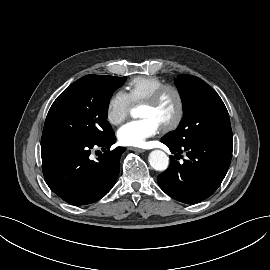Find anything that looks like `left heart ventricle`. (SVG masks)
<instances>
[{
	"label": "left heart ventricle",
	"mask_w": 270,
	"mask_h": 270,
	"mask_svg": "<svg viewBox=\"0 0 270 270\" xmlns=\"http://www.w3.org/2000/svg\"><path fill=\"white\" fill-rule=\"evenodd\" d=\"M177 100L173 92H166L155 105L143 104L141 107V117L154 119L160 127L169 123L175 116Z\"/></svg>",
	"instance_id": "left-heart-ventricle-1"
}]
</instances>
